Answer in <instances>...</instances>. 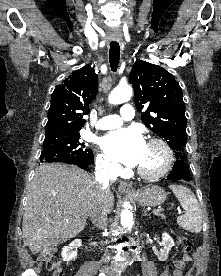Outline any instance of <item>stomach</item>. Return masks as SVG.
<instances>
[{
    "label": "stomach",
    "mask_w": 221,
    "mask_h": 276,
    "mask_svg": "<svg viewBox=\"0 0 221 276\" xmlns=\"http://www.w3.org/2000/svg\"><path fill=\"white\" fill-rule=\"evenodd\" d=\"M133 198L141 206L156 207L165 202L166 193L161 187L153 185L137 191Z\"/></svg>",
    "instance_id": "stomach-1"
}]
</instances>
